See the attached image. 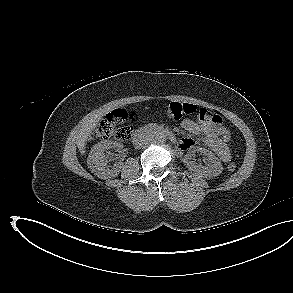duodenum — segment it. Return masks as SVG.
<instances>
[{
  "mask_svg": "<svg viewBox=\"0 0 293 293\" xmlns=\"http://www.w3.org/2000/svg\"><path fill=\"white\" fill-rule=\"evenodd\" d=\"M152 134H156V135H160V136H163V137H167L169 138L170 140L176 142V139H175V136L174 134L168 130V129H165V128H161V127H145V128H142V129H139L137 130L133 136H132V143L135 145V146H138L142 143V141L152 135ZM177 146L180 148V144L178 142H176Z\"/></svg>",
  "mask_w": 293,
  "mask_h": 293,
  "instance_id": "obj_1",
  "label": "duodenum"
}]
</instances>
